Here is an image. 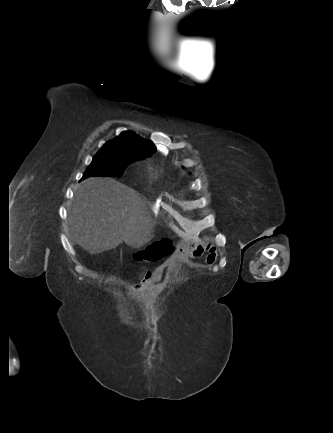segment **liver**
Listing matches in <instances>:
<instances>
[{"label": "liver", "instance_id": "6515ba94", "mask_svg": "<svg viewBox=\"0 0 333 433\" xmlns=\"http://www.w3.org/2000/svg\"><path fill=\"white\" fill-rule=\"evenodd\" d=\"M147 204L138 192L112 178H88L77 186L69 211L72 238L91 255L122 242L139 248L154 238Z\"/></svg>", "mask_w": 333, "mask_h": 433}]
</instances>
